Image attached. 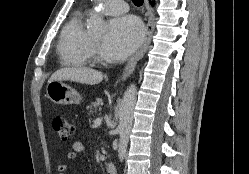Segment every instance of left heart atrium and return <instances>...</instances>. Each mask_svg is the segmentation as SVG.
<instances>
[{
  "mask_svg": "<svg viewBox=\"0 0 249 174\" xmlns=\"http://www.w3.org/2000/svg\"><path fill=\"white\" fill-rule=\"evenodd\" d=\"M142 37L143 27L138 18L123 16L114 19L102 46L104 58L112 62L125 59L139 46Z\"/></svg>",
  "mask_w": 249,
  "mask_h": 174,
  "instance_id": "39dd6f15",
  "label": "left heart atrium"
}]
</instances>
